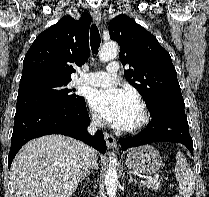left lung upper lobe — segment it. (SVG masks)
<instances>
[{"label": "left lung upper lobe", "instance_id": "left-lung-upper-lobe-1", "mask_svg": "<svg viewBox=\"0 0 209 197\" xmlns=\"http://www.w3.org/2000/svg\"><path fill=\"white\" fill-rule=\"evenodd\" d=\"M112 40L120 45V60L131 68L125 78L143 97L148 110L164 101L183 100L169 53L156 37L130 17L121 14L109 24Z\"/></svg>", "mask_w": 209, "mask_h": 197}]
</instances>
